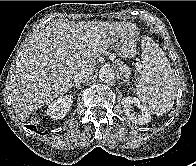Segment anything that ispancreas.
Here are the masks:
<instances>
[{"label": "pancreas", "instance_id": "cf45deb5", "mask_svg": "<svg viewBox=\"0 0 196 166\" xmlns=\"http://www.w3.org/2000/svg\"><path fill=\"white\" fill-rule=\"evenodd\" d=\"M119 69H120L121 73L124 74V76H125L126 78H129V77H130L131 71H130V68H129V67H127V66H125V65H121V66L119 67Z\"/></svg>", "mask_w": 196, "mask_h": 166}]
</instances>
